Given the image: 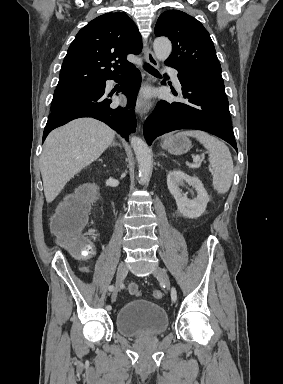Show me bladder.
Masks as SVG:
<instances>
[{
  "mask_svg": "<svg viewBox=\"0 0 283 384\" xmlns=\"http://www.w3.org/2000/svg\"><path fill=\"white\" fill-rule=\"evenodd\" d=\"M116 330L126 338L160 336L168 328L169 314L165 308L147 299H133L116 312Z\"/></svg>",
  "mask_w": 283,
  "mask_h": 384,
  "instance_id": "bladder-1",
  "label": "bladder"
}]
</instances>
